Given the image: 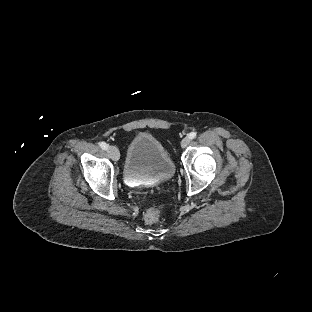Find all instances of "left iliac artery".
<instances>
[{"mask_svg":"<svg viewBox=\"0 0 312 312\" xmlns=\"http://www.w3.org/2000/svg\"><path fill=\"white\" fill-rule=\"evenodd\" d=\"M196 135H197L196 132H191V133H189L188 137L190 139H194L196 137Z\"/></svg>","mask_w":312,"mask_h":312,"instance_id":"obj_1","label":"left iliac artery"}]
</instances>
